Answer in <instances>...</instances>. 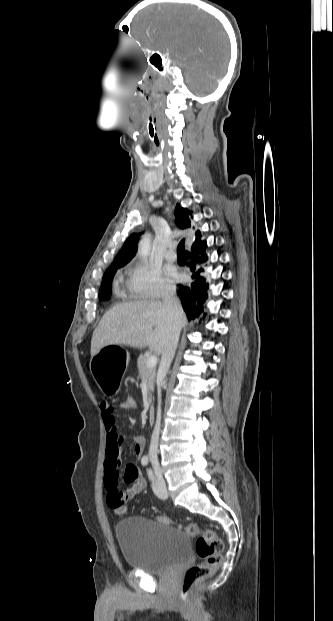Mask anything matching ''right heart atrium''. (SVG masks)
<instances>
[{
    "mask_svg": "<svg viewBox=\"0 0 333 621\" xmlns=\"http://www.w3.org/2000/svg\"><path fill=\"white\" fill-rule=\"evenodd\" d=\"M130 293L140 299H159L174 292V285L164 277L160 268L147 262H137L129 275Z\"/></svg>",
    "mask_w": 333,
    "mask_h": 621,
    "instance_id": "right-heart-atrium-1",
    "label": "right heart atrium"
}]
</instances>
